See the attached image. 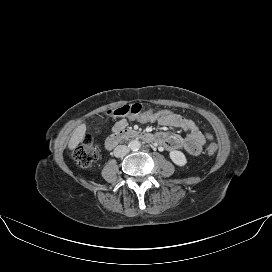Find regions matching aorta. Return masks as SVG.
Here are the masks:
<instances>
[{
    "instance_id": "aorta-1",
    "label": "aorta",
    "mask_w": 272,
    "mask_h": 272,
    "mask_svg": "<svg viewBox=\"0 0 272 272\" xmlns=\"http://www.w3.org/2000/svg\"><path fill=\"white\" fill-rule=\"evenodd\" d=\"M141 147V143L138 140H131L128 143V148L132 151H137Z\"/></svg>"
}]
</instances>
